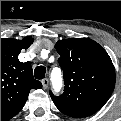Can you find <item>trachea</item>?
Segmentation results:
<instances>
[{
    "label": "trachea",
    "mask_w": 121,
    "mask_h": 121,
    "mask_svg": "<svg viewBox=\"0 0 121 121\" xmlns=\"http://www.w3.org/2000/svg\"><path fill=\"white\" fill-rule=\"evenodd\" d=\"M46 68L44 66H38L35 68L34 76L36 79L41 80L45 77Z\"/></svg>",
    "instance_id": "trachea-1"
}]
</instances>
